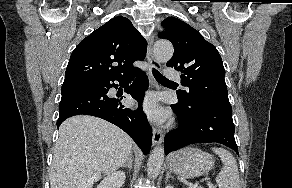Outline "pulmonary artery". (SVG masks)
I'll use <instances>...</instances> for the list:
<instances>
[{"label":"pulmonary artery","instance_id":"pulmonary-artery-1","mask_svg":"<svg viewBox=\"0 0 292 188\" xmlns=\"http://www.w3.org/2000/svg\"><path fill=\"white\" fill-rule=\"evenodd\" d=\"M165 76L167 79H172V80H179L180 79L179 72L173 68H167L165 70Z\"/></svg>","mask_w":292,"mask_h":188}]
</instances>
